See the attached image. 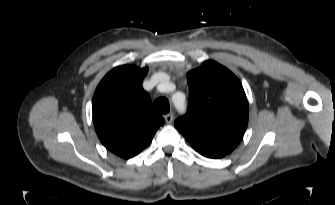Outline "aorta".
Instances as JSON below:
<instances>
[{
    "label": "aorta",
    "mask_w": 335,
    "mask_h": 205,
    "mask_svg": "<svg viewBox=\"0 0 335 205\" xmlns=\"http://www.w3.org/2000/svg\"><path fill=\"white\" fill-rule=\"evenodd\" d=\"M175 105H176L178 108L183 107V103H177V102H175Z\"/></svg>",
    "instance_id": "1"
}]
</instances>
